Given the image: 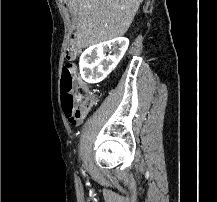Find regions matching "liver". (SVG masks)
I'll return each instance as SVG.
<instances>
[{"instance_id": "obj_1", "label": "liver", "mask_w": 217, "mask_h": 202, "mask_svg": "<svg viewBox=\"0 0 217 202\" xmlns=\"http://www.w3.org/2000/svg\"><path fill=\"white\" fill-rule=\"evenodd\" d=\"M76 22V44L96 46L124 36L143 0H66Z\"/></svg>"}]
</instances>
